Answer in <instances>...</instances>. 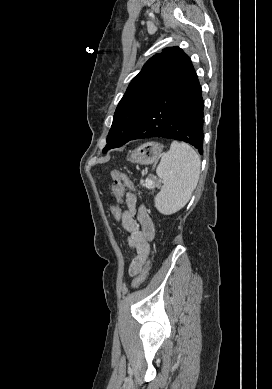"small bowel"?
Listing matches in <instances>:
<instances>
[{"label":"small bowel","instance_id":"c3829d8e","mask_svg":"<svg viewBox=\"0 0 272 389\" xmlns=\"http://www.w3.org/2000/svg\"><path fill=\"white\" fill-rule=\"evenodd\" d=\"M137 201V196L134 193L126 194V208L120 219L122 227L129 234V245L134 251L128 266V272L131 276H135L141 271L150 252V242L155 234L154 225L147 210L144 207H139Z\"/></svg>","mask_w":272,"mask_h":389}]
</instances>
